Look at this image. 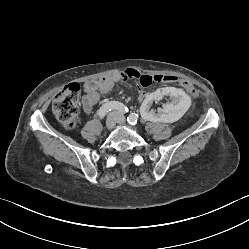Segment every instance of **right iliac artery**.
Wrapping results in <instances>:
<instances>
[{"label": "right iliac artery", "instance_id": "1", "mask_svg": "<svg viewBox=\"0 0 249 249\" xmlns=\"http://www.w3.org/2000/svg\"><path fill=\"white\" fill-rule=\"evenodd\" d=\"M118 110L121 113L128 112V108L120 102L112 101L103 104L98 110V116L102 119L109 111Z\"/></svg>", "mask_w": 249, "mask_h": 249}]
</instances>
